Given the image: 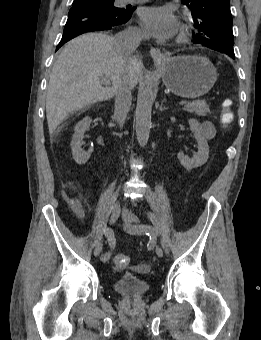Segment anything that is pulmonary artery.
<instances>
[{
    "mask_svg": "<svg viewBox=\"0 0 261 340\" xmlns=\"http://www.w3.org/2000/svg\"><path fill=\"white\" fill-rule=\"evenodd\" d=\"M125 3L132 2V1H139V0H122Z\"/></svg>",
    "mask_w": 261,
    "mask_h": 340,
    "instance_id": "1",
    "label": "pulmonary artery"
}]
</instances>
